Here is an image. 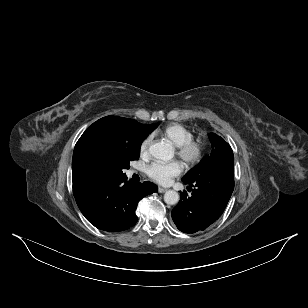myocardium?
<instances>
[{
  "label": "myocardium",
  "instance_id": "f54148a6",
  "mask_svg": "<svg viewBox=\"0 0 308 308\" xmlns=\"http://www.w3.org/2000/svg\"><path fill=\"white\" fill-rule=\"evenodd\" d=\"M176 154L188 167L196 166L205 157L206 142L202 138L192 137L176 147Z\"/></svg>",
  "mask_w": 308,
  "mask_h": 308
}]
</instances>
